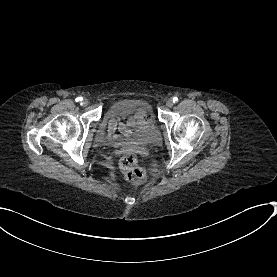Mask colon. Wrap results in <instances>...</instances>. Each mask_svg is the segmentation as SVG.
Wrapping results in <instances>:
<instances>
[{
    "mask_svg": "<svg viewBox=\"0 0 277 277\" xmlns=\"http://www.w3.org/2000/svg\"><path fill=\"white\" fill-rule=\"evenodd\" d=\"M116 159L128 182L139 183L145 178V167L140 161L141 156L137 150H120L117 153Z\"/></svg>",
    "mask_w": 277,
    "mask_h": 277,
    "instance_id": "colon-1",
    "label": "colon"
}]
</instances>
